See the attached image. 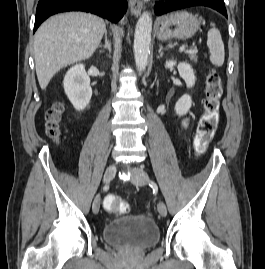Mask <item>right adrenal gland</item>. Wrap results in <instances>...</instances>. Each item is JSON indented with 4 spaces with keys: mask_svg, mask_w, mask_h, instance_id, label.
Returning a JSON list of instances; mask_svg holds the SVG:
<instances>
[{
    "mask_svg": "<svg viewBox=\"0 0 265 269\" xmlns=\"http://www.w3.org/2000/svg\"><path fill=\"white\" fill-rule=\"evenodd\" d=\"M104 38H105V43L104 44H100L99 45V48L100 49H103V50H108L109 53H111V43H110V41L108 39V33H107V31H105V33H104Z\"/></svg>",
    "mask_w": 265,
    "mask_h": 269,
    "instance_id": "obj_1",
    "label": "right adrenal gland"
}]
</instances>
